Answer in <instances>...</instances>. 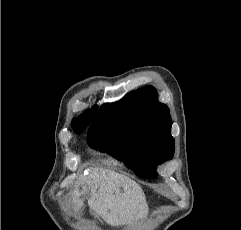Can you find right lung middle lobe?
Masks as SVG:
<instances>
[{"label":"right lung middle lobe","mask_w":241,"mask_h":230,"mask_svg":"<svg viewBox=\"0 0 241 230\" xmlns=\"http://www.w3.org/2000/svg\"><path fill=\"white\" fill-rule=\"evenodd\" d=\"M82 131H78V132H76V133H81Z\"/></svg>","instance_id":"obj_1"}]
</instances>
